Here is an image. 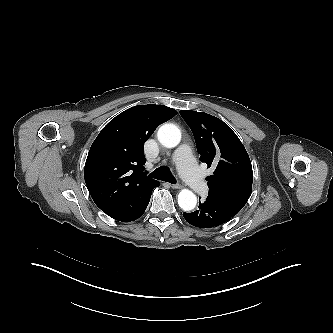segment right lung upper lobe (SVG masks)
Listing matches in <instances>:
<instances>
[{"label":"right lung upper lobe","mask_w":333,"mask_h":333,"mask_svg":"<svg viewBox=\"0 0 333 333\" xmlns=\"http://www.w3.org/2000/svg\"><path fill=\"white\" fill-rule=\"evenodd\" d=\"M176 114L164 105H138L117 115L99 133L89 150L84 177L103 212L120 209L132 195L157 182L142 172L144 143Z\"/></svg>","instance_id":"cb5924a9"}]
</instances>
